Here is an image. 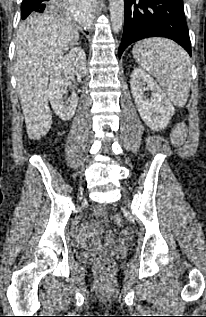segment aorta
<instances>
[{"mask_svg":"<svg viewBox=\"0 0 206 317\" xmlns=\"http://www.w3.org/2000/svg\"><path fill=\"white\" fill-rule=\"evenodd\" d=\"M110 1V19L114 33H119L122 29L124 21V0H109ZM83 23L89 22L88 17L81 18Z\"/></svg>","mask_w":206,"mask_h":317,"instance_id":"obj_1","label":"aorta"}]
</instances>
